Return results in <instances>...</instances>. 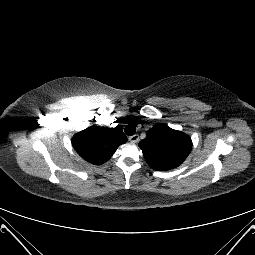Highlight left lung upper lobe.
I'll list each match as a JSON object with an SVG mask.
<instances>
[{"label": "left lung upper lobe", "mask_w": 255, "mask_h": 255, "mask_svg": "<svg viewBox=\"0 0 255 255\" xmlns=\"http://www.w3.org/2000/svg\"><path fill=\"white\" fill-rule=\"evenodd\" d=\"M139 146L147 164L157 171L178 167L192 149L191 138L165 124H156L146 133Z\"/></svg>", "instance_id": "obj_1"}]
</instances>
